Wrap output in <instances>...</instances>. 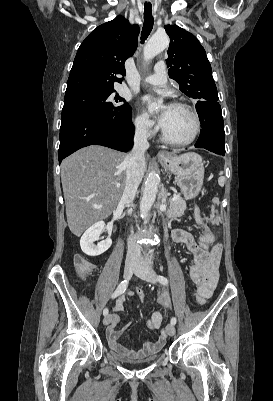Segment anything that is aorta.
<instances>
[{"label":"aorta","instance_id":"aorta-1","mask_svg":"<svg viewBox=\"0 0 273 401\" xmlns=\"http://www.w3.org/2000/svg\"><path fill=\"white\" fill-rule=\"evenodd\" d=\"M169 37L166 33L154 34L144 47L143 57L146 62L153 59L169 46ZM161 101L151 105L154 111H158L161 107ZM159 176L155 171H151L145 181L143 196L140 202V214L142 219H146L148 213L155 202L158 192Z\"/></svg>","mask_w":273,"mask_h":401}]
</instances>
